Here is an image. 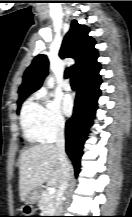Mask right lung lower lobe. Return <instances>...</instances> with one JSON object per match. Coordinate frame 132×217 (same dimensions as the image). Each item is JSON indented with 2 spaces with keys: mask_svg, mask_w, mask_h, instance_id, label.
I'll list each match as a JSON object with an SVG mask.
<instances>
[{
  "mask_svg": "<svg viewBox=\"0 0 132 217\" xmlns=\"http://www.w3.org/2000/svg\"><path fill=\"white\" fill-rule=\"evenodd\" d=\"M100 83V76L78 82L73 116L66 122V152L73 162L76 175L80 170L83 143L87 139L97 109V100L101 94Z\"/></svg>",
  "mask_w": 132,
  "mask_h": 217,
  "instance_id": "1",
  "label": "right lung lower lobe"
}]
</instances>
